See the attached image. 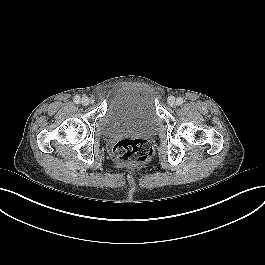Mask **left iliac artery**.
Returning a JSON list of instances; mask_svg holds the SVG:
<instances>
[{"label":"left iliac artery","mask_w":265,"mask_h":265,"mask_svg":"<svg viewBox=\"0 0 265 265\" xmlns=\"http://www.w3.org/2000/svg\"><path fill=\"white\" fill-rule=\"evenodd\" d=\"M183 102H184L183 98H181V97L177 98V100H176L177 105H181Z\"/></svg>","instance_id":"left-iliac-artery-1"}]
</instances>
